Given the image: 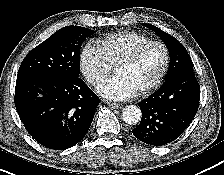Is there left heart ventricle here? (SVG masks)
Returning <instances> with one entry per match:
<instances>
[{"label": "left heart ventricle", "mask_w": 224, "mask_h": 175, "mask_svg": "<svg viewBox=\"0 0 224 175\" xmlns=\"http://www.w3.org/2000/svg\"><path fill=\"white\" fill-rule=\"evenodd\" d=\"M163 60V50L159 46H150L135 62L118 66L115 71L116 74L123 76L137 91L157 76Z\"/></svg>", "instance_id": "left-heart-ventricle-1"}]
</instances>
